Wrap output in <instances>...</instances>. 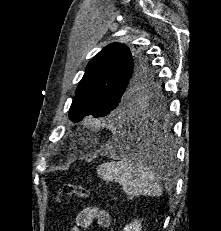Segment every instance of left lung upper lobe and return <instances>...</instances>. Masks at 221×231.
Listing matches in <instances>:
<instances>
[{
  "mask_svg": "<svg viewBox=\"0 0 221 231\" xmlns=\"http://www.w3.org/2000/svg\"><path fill=\"white\" fill-rule=\"evenodd\" d=\"M133 104L146 114L165 122L166 102L147 56L131 52L121 43H112L88 63L70 107L74 122L91 117H111Z\"/></svg>",
  "mask_w": 221,
  "mask_h": 231,
  "instance_id": "left-lung-upper-lobe-1",
  "label": "left lung upper lobe"
}]
</instances>
